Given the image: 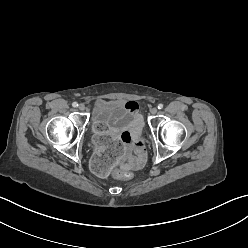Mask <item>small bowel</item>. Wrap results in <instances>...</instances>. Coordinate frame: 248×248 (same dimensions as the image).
I'll return each instance as SVG.
<instances>
[{"instance_id": "c3829d8e", "label": "small bowel", "mask_w": 248, "mask_h": 248, "mask_svg": "<svg viewBox=\"0 0 248 248\" xmlns=\"http://www.w3.org/2000/svg\"><path fill=\"white\" fill-rule=\"evenodd\" d=\"M125 103L133 112L134 118L122 132V134L125 133L127 135H120V140L123 143V156L119 160L124 168L138 169L142 166L146 157L145 144L140 138L142 121L140 115L138 114V103L133 100H129Z\"/></svg>"}]
</instances>
